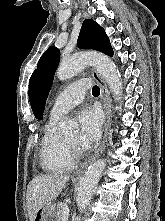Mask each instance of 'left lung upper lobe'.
<instances>
[{
  "instance_id": "obj_1",
  "label": "left lung upper lobe",
  "mask_w": 165,
  "mask_h": 221,
  "mask_svg": "<svg viewBox=\"0 0 165 221\" xmlns=\"http://www.w3.org/2000/svg\"><path fill=\"white\" fill-rule=\"evenodd\" d=\"M77 46L82 49H94L113 56V50L104 29L92 19H86L81 27ZM60 59L59 50L51 46L41 56L37 69L29 82V100L36 119L43 118L46 99L48 97L55 70Z\"/></svg>"
}]
</instances>
